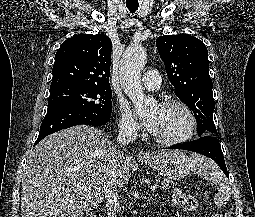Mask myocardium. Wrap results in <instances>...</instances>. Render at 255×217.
I'll list each match as a JSON object with an SVG mask.
<instances>
[{"instance_id":"f54148a6","label":"myocardium","mask_w":255,"mask_h":217,"mask_svg":"<svg viewBox=\"0 0 255 217\" xmlns=\"http://www.w3.org/2000/svg\"><path fill=\"white\" fill-rule=\"evenodd\" d=\"M160 106L161 107L178 106L182 108L187 114L189 122H188V127L183 134L173 138H162L154 134L153 136L155 141L162 145L171 146V145L180 144L190 139L192 135L194 134V131L196 129V124H197L196 116L192 108L185 101L178 98H171V99L164 100L160 103Z\"/></svg>"}]
</instances>
